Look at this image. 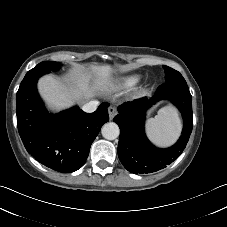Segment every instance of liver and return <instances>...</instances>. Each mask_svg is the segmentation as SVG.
<instances>
[{
	"label": "liver",
	"instance_id": "liver-1",
	"mask_svg": "<svg viewBox=\"0 0 227 227\" xmlns=\"http://www.w3.org/2000/svg\"><path fill=\"white\" fill-rule=\"evenodd\" d=\"M121 68L126 70L127 66ZM115 72L111 65L80 66L71 71L64 80L51 75L42 77L38 82V90L49 108L58 111L76 102L83 103L111 88Z\"/></svg>",
	"mask_w": 227,
	"mask_h": 227
}]
</instances>
